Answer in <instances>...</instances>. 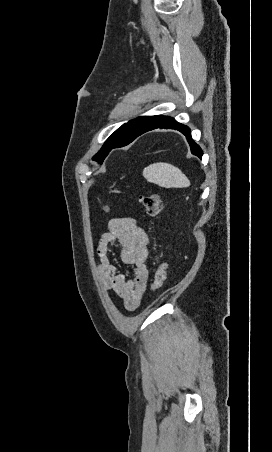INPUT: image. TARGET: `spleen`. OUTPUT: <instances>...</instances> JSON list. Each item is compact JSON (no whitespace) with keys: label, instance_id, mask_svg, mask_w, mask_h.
<instances>
[{"label":"spleen","instance_id":"1","mask_svg":"<svg viewBox=\"0 0 272 452\" xmlns=\"http://www.w3.org/2000/svg\"><path fill=\"white\" fill-rule=\"evenodd\" d=\"M143 176L148 182L165 188H183L190 185L189 179L179 168L164 162L149 165L143 170Z\"/></svg>","mask_w":272,"mask_h":452}]
</instances>
